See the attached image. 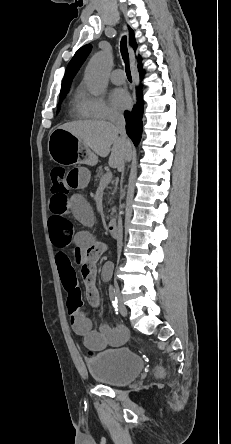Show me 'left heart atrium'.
I'll return each mask as SVG.
<instances>
[{
	"label": "left heart atrium",
	"mask_w": 231,
	"mask_h": 444,
	"mask_svg": "<svg viewBox=\"0 0 231 444\" xmlns=\"http://www.w3.org/2000/svg\"><path fill=\"white\" fill-rule=\"evenodd\" d=\"M111 101L118 109L128 108L131 104V97L124 89H114L110 94Z\"/></svg>",
	"instance_id": "39dd6f15"
}]
</instances>
